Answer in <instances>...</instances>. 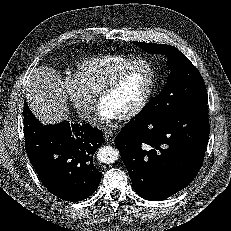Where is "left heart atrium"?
Listing matches in <instances>:
<instances>
[{
	"mask_svg": "<svg viewBox=\"0 0 231 231\" xmlns=\"http://www.w3.org/2000/svg\"><path fill=\"white\" fill-rule=\"evenodd\" d=\"M99 119L104 122H111L118 118V116L105 104H102L98 108Z\"/></svg>",
	"mask_w": 231,
	"mask_h": 231,
	"instance_id": "obj_1",
	"label": "left heart atrium"
}]
</instances>
